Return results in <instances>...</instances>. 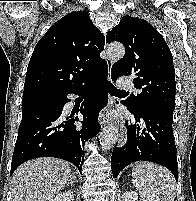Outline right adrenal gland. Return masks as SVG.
I'll list each match as a JSON object with an SVG mask.
<instances>
[{
  "mask_svg": "<svg viewBox=\"0 0 196 201\" xmlns=\"http://www.w3.org/2000/svg\"><path fill=\"white\" fill-rule=\"evenodd\" d=\"M74 182H76V176L72 175V178L69 180V184H73Z\"/></svg>",
  "mask_w": 196,
  "mask_h": 201,
  "instance_id": "1",
  "label": "right adrenal gland"
}]
</instances>
